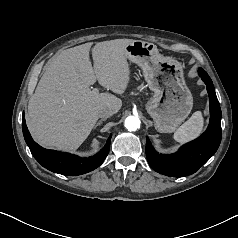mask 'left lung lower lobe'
Instances as JSON below:
<instances>
[{"mask_svg":"<svg viewBox=\"0 0 238 238\" xmlns=\"http://www.w3.org/2000/svg\"><path fill=\"white\" fill-rule=\"evenodd\" d=\"M199 75L207 85L210 102V123L205 133L196 140L183 145L178 152L170 155L157 153L146 138V157L149 165L156 172L183 177L195 173L217 151L221 142V109L213 83L202 68Z\"/></svg>","mask_w":238,"mask_h":238,"instance_id":"1","label":"left lung lower lobe"}]
</instances>
